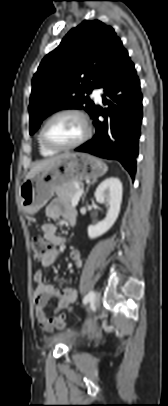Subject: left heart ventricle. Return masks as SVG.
Instances as JSON below:
<instances>
[{"mask_svg": "<svg viewBox=\"0 0 168 406\" xmlns=\"http://www.w3.org/2000/svg\"><path fill=\"white\" fill-rule=\"evenodd\" d=\"M83 133L82 120L73 114H65L53 119L45 131L48 141L59 146L77 141Z\"/></svg>", "mask_w": 168, "mask_h": 406, "instance_id": "left-heart-ventricle-1", "label": "left heart ventricle"}]
</instances>
